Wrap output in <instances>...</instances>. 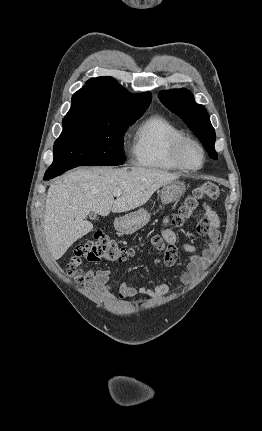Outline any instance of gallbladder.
Masks as SVG:
<instances>
[{
    "instance_id": "1",
    "label": "gallbladder",
    "mask_w": 262,
    "mask_h": 431,
    "mask_svg": "<svg viewBox=\"0 0 262 431\" xmlns=\"http://www.w3.org/2000/svg\"><path fill=\"white\" fill-rule=\"evenodd\" d=\"M89 217H90L91 219H95V218H96V214H95V213H91V214L89 215Z\"/></svg>"
}]
</instances>
